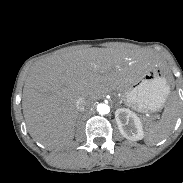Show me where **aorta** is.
<instances>
[{"mask_svg": "<svg viewBox=\"0 0 183 183\" xmlns=\"http://www.w3.org/2000/svg\"><path fill=\"white\" fill-rule=\"evenodd\" d=\"M97 111L101 115L108 114L110 112V107L108 104L101 103L97 105Z\"/></svg>", "mask_w": 183, "mask_h": 183, "instance_id": "obj_1", "label": "aorta"}]
</instances>
